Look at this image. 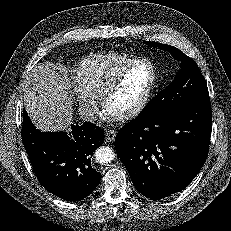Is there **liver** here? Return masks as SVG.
<instances>
[{"mask_svg": "<svg viewBox=\"0 0 231 231\" xmlns=\"http://www.w3.org/2000/svg\"><path fill=\"white\" fill-rule=\"evenodd\" d=\"M70 85L63 66L36 65L24 85V106L41 131H60L73 121Z\"/></svg>", "mask_w": 231, "mask_h": 231, "instance_id": "obj_1", "label": "liver"}]
</instances>
